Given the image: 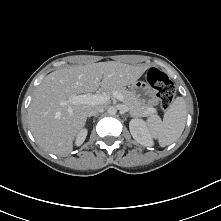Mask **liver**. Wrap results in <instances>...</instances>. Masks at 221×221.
Returning <instances> with one entry per match:
<instances>
[{"instance_id": "liver-1", "label": "liver", "mask_w": 221, "mask_h": 221, "mask_svg": "<svg viewBox=\"0 0 221 221\" xmlns=\"http://www.w3.org/2000/svg\"><path fill=\"white\" fill-rule=\"evenodd\" d=\"M146 66L99 62L56 70L37 87L28 109V122L38 144L48 152L67 156L84 127L88 112L99 105L71 104L73 96L126 86L137 81ZM72 109L69 113L68 109Z\"/></svg>"}]
</instances>
